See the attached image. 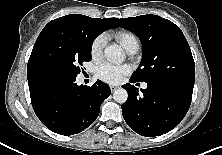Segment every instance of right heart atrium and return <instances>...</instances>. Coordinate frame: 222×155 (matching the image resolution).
Segmentation results:
<instances>
[{
  "label": "right heart atrium",
  "mask_w": 222,
  "mask_h": 155,
  "mask_svg": "<svg viewBox=\"0 0 222 155\" xmlns=\"http://www.w3.org/2000/svg\"><path fill=\"white\" fill-rule=\"evenodd\" d=\"M105 44L106 39L104 35H99L93 40L90 53L94 60H99L101 58Z\"/></svg>",
  "instance_id": "1"
}]
</instances>
